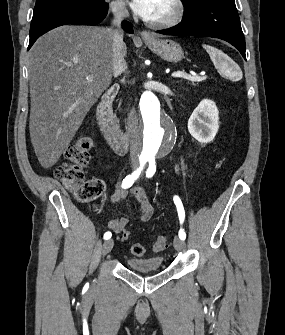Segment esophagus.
Here are the masks:
<instances>
[{
  "mask_svg": "<svg viewBox=\"0 0 285 335\" xmlns=\"http://www.w3.org/2000/svg\"><path fill=\"white\" fill-rule=\"evenodd\" d=\"M141 37H142L143 39H151V38H152V35H151V33L148 32L147 30H143V31L141 32Z\"/></svg>",
  "mask_w": 285,
  "mask_h": 335,
  "instance_id": "esophagus-1",
  "label": "esophagus"
}]
</instances>
